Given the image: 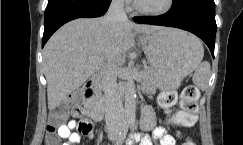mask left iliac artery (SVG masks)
Instances as JSON below:
<instances>
[{
  "instance_id": "1",
  "label": "left iliac artery",
  "mask_w": 243,
  "mask_h": 145,
  "mask_svg": "<svg viewBox=\"0 0 243 145\" xmlns=\"http://www.w3.org/2000/svg\"><path fill=\"white\" fill-rule=\"evenodd\" d=\"M130 128H131V130L134 129V123H131V124H130Z\"/></svg>"
}]
</instances>
